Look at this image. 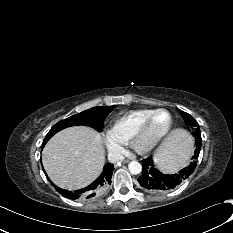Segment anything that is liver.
Masks as SVG:
<instances>
[{
	"instance_id": "liver-1",
	"label": "liver",
	"mask_w": 233,
	"mask_h": 233,
	"mask_svg": "<svg viewBox=\"0 0 233 233\" xmlns=\"http://www.w3.org/2000/svg\"><path fill=\"white\" fill-rule=\"evenodd\" d=\"M179 131L171 133L157 149L156 162L165 170H177L183 159ZM42 161L50 179L59 187L77 190L88 186L101 173L105 150L95 130L76 126L54 135L43 150Z\"/></svg>"
}]
</instances>
